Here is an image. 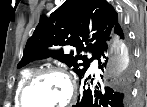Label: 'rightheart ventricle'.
I'll use <instances>...</instances> for the list:
<instances>
[{"label":"right heart ventricle","mask_w":147,"mask_h":107,"mask_svg":"<svg viewBox=\"0 0 147 107\" xmlns=\"http://www.w3.org/2000/svg\"><path fill=\"white\" fill-rule=\"evenodd\" d=\"M32 73H33L32 69H25L21 71L18 75L16 90H15V103L16 106L18 107H19L18 98L20 95V91Z\"/></svg>","instance_id":"1"}]
</instances>
